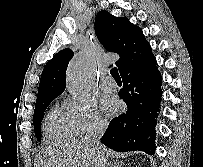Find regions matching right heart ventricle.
Instances as JSON below:
<instances>
[{
  "instance_id": "e07e8e85",
  "label": "right heart ventricle",
  "mask_w": 203,
  "mask_h": 167,
  "mask_svg": "<svg viewBox=\"0 0 203 167\" xmlns=\"http://www.w3.org/2000/svg\"><path fill=\"white\" fill-rule=\"evenodd\" d=\"M45 133L51 140H67L74 134L65 118L64 112L52 108L45 119Z\"/></svg>"
}]
</instances>
